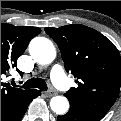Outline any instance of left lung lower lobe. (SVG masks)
I'll return each instance as SVG.
<instances>
[{
    "label": "left lung lower lobe",
    "mask_w": 121,
    "mask_h": 121,
    "mask_svg": "<svg viewBox=\"0 0 121 121\" xmlns=\"http://www.w3.org/2000/svg\"><path fill=\"white\" fill-rule=\"evenodd\" d=\"M58 121H100L101 117L84 113L77 109L70 107L67 114L58 116Z\"/></svg>",
    "instance_id": "1"
}]
</instances>
